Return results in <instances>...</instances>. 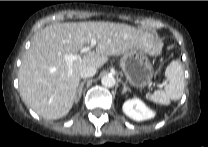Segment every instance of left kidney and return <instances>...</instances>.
Returning <instances> with one entry per match:
<instances>
[{
    "label": "left kidney",
    "mask_w": 208,
    "mask_h": 147,
    "mask_svg": "<svg viewBox=\"0 0 208 147\" xmlns=\"http://www.w3.org/2000/svg\"><path fill=\"white\" fill-rule=\"evenodd\" d=\"M123 112L135 121H144L155 116V112L137 98L125 101L123 104Z\"/></svg>",
    "instance_id": "5707ae66"
}]
</instances>
